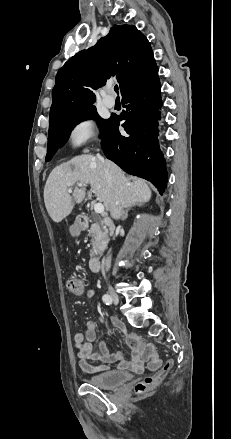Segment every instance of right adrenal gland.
Masks as SVG:
<instances>
[{
    "instance_id": "obj_1",
    "label": "right adrenal gland",
    "mask_w": 231,
    "mask_h": 439,
    "mask_svg": "<svg viewBox=\"0 0 231 439\" xmlns=\"http://www.w3.org/2000/svg\"><path fill=\"white\" fill-rule=\"evenodd\" d=\"M132 205L128 206L131 207ZM128 216V209L126 208L125 211L123 212V216H122V220H125Z\"/></svg>"
}]
</instances>
